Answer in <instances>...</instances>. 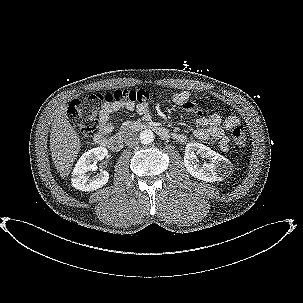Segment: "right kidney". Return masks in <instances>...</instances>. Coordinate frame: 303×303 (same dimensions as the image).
Segmentation results:
<instances>
[{"label": "right kidney", "instance_id": "right-kidney-1", "mask_svg": "<svg viewBox=\"0 0 303 303\" xmlns=\"http://www.w3.org/2000/svg\"><path fill=\"white\" fill-rule=\"evenodd\" d=\"M105 147H96L83 153L72 172V186L80 191H94L103 187L109 180V173L100 170L97 175L90 176L88 172L97 169V162L107 156Z\"/></svg>", "mask_w": 303, "mask_h": 303}]
</instances>
